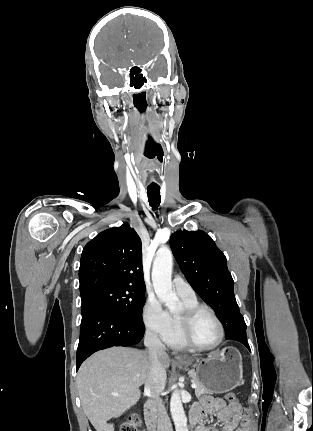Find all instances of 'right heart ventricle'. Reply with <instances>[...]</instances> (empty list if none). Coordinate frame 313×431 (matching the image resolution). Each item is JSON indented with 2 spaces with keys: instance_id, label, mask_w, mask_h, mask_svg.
I'll return each mask as SVG.
<instances>
[{
  "instance_id": "1",
  "label": "right heart ventricle",
  "mask_w": 313,
  "mask_h": 431,
  "mask_svg": "<svg viewBox=\"0 0 313 431\" xmlns=\"http://www.w3.org/2000/svg\"><path fill=\"white\" fill-rule=\"evenodd\" d=\"M180 298L182 300L183 307L199 305L196 296L194 297L180 296ZM170 320H171V331L168 334V336L164 339V341L166 342L167 345H169L172 348H176V349L185 348L186 344L184 343L180 335L178 314L177 313L170 314Z\"/></svg>"
}]
</instances>
